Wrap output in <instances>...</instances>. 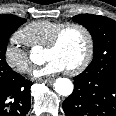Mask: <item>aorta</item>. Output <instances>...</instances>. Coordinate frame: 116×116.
<instances>
[{
    "instance_id": "obj_1",
    "label": "aorta",
    "mask_w": 116,
    "mask_h": 116,
    "mask_svg": "<svg viewBox=\"0 0 116 116\" xmlns=\"http://www.w3.org/2000/svg\"><path fill=\"white\" fill-rule=\"evenodd\" d=\"M31 59L34 61L35 55L31 54ZM55 91L62 96H69L73 91V84L68 78H58L54 83Z\"/></svg>"
}]
</instances>
